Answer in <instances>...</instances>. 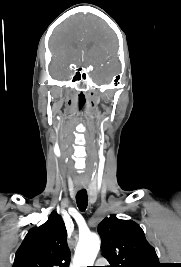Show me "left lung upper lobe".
<instances>
[{
    "label": "left lung upper lobe",
    "mask_w": 181,
    "mask_h": 267,
    "mask_svg": "<svg viewBox=\"0 0 181 267\" xmlns=\"http://www.w3.org/2000/svg\"><path fill=\"white\" fill-rule=\"evenodd\" d=\"M98 233L110 267H161L154 248L134 221L111 216L99 223Z\"/></svg>",
    "instance_id": "left-lung-upper-lobe-1"
}]
</instances>
